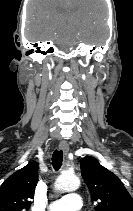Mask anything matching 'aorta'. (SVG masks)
I'll return each instance as SVG.
<instances>
[{
    "instance_id": "obj_1",
    "label": "aorta",
    "mask_w": 133,
    "mask_h": 211,
    "mask_svg": "<svg viewBox=\"0 0 133 211\" xmlns=\"http://www.w3.org/2000/svg\"><path fill=\"white\" fill-rule=\"evenodd\" d=\"M80 186V180L74 175H62L57 178L54 188L57 192L75 191Z\"/></svg>"
}]
</instances>
